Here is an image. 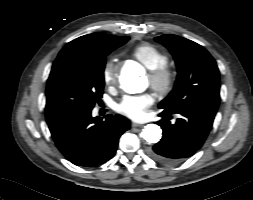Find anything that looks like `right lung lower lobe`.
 <instances>
[{
	"label": "right lung lower lobe",
	"mask_w": 253,
	"mask_h": 200,
	"mask_svg": "<svg viewBox=\"0 0 253 200\" xmlns=\"http://www.w3.org/2000/svg\"><path fill=\"white\" fill-rule=\"evenodd\" d=\"M46 121L56 146L73 164L93 167L111 159L120 136L130 128L121 115H107L106 120L91 116V111L46 114Z\"/></svg>",
	"instance_id": "98d812e1"
}]
</instances>
